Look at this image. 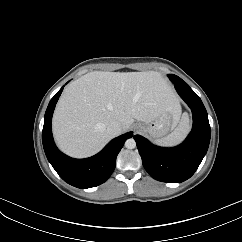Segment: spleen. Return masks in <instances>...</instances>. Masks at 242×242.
Masks as SVG:
<instances>
[{"mask_svg":"<svg viewBox=\"0 0 242 242\" xmlns=\"http://www.w3.org/2000/svg\"><path fill=\"white\" fill-rule=\"evenodd\" d=\"M190 130L188 117H182L177 127L169 135L157 140V144L162 146H175L186 137Z\"/></svg>","mask_w":242,"mask_h":242,"instance_id":"spleen-1","label":"spleen"}]
</instances>
